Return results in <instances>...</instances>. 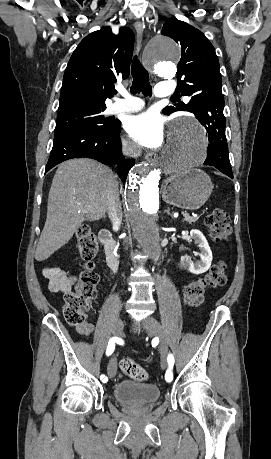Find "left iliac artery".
<instances>
[{
	"label": "left iliac artery",
	"instance_id": "obj_1",
	"mask_svg": "<svg viewBox=\"0 0 271 459\" xmlns=\"http://www.w3.org/2000/svg\"><path fill=\"white\" fill-rule=\"evenodd\" d=\"M168 364H169L168 365L169 370L165 372L164 375L166 377L165 379L166 382L171 383V382H174V377H173L174 375H173V370H172L174 368V357L172 354L168 355Z\"/></svg>",
	"mask_w": 271,
	"mask_h": 459
}]
</instances>
